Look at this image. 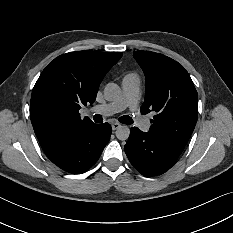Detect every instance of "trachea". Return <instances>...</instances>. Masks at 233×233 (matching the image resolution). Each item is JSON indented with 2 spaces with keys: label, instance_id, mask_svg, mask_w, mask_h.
Instances as JSON below:
<instances>
[{
  "label": "trachea",
  "instance_id": "trachea-1",
  "mask_svg": "<svg viewBox=\"0 0 233 233\" xmlns=\"http://www.w3.org/2000/svg\"><path fill=\"white\" fill-rule=\"evenodd\" d=\"M93 120L96 123H102L103 122V118L99 114H95L94 117H93ZM118 120L123 124H133V119L131 117H129L128 115L121 116Z\"/></svg>",
  "mask_w": 233,
  "mask_h": 233
}]
</instances>
